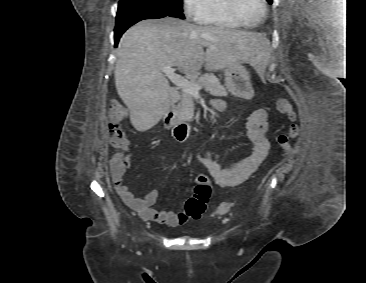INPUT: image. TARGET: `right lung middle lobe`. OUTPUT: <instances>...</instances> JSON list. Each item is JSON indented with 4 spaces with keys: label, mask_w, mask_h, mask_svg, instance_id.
I'll return each mask as SVG.
<instances>
[{
    "label": "right lung middle lobe",
    "mask_w": 366,
    "mask_h": 283,
    "mask_svg": "<svg viewBox=\"0 0 366 283\" xmlns=\"http://www.w3.org/2000/svg\"><path fill=\"white\" fill-rule=\"evenodd\" d=\"M154 12L184 19L182 0H120L117 16Z\"/></svg>",
    "instance_id": "obj_1"
}]
</instances>
